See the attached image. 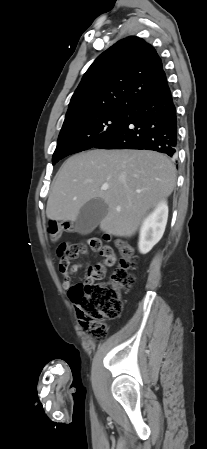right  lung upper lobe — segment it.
I'll return each instance as SVG.
<instances>
[{"mask_svg":"<svg viewBox=\"0 0 207 449\" xmlns=\"http://www.w3.org/2000/svg\"><path fill=\"white\" fill-rule=\"evenodd\" d=\"M170 91L160 57L131 36L103 52L74 92L66 119L103 109H136Z\"/></svg>","mask_w":207,"mask_h":449,"instance_id":"1","label":"right lung upper lobe"}]
</instances>
